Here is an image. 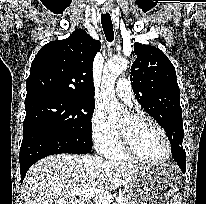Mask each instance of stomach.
I'll return each mask as SVG.
<instances>
[{"label": "stomach", "mask_w": 206, "mask_h": 204, "mask_svg": "<svg viewBox=\"0 0 206 204\" xmlns=\"http://www.w3.org/2000/svg\"><path fill=\"white\" fill-rule=\"evenodd\" d=\"M181 185L178 169L171 164L143 167L127 185L132 204H169Z\"/></svg>", "instance_id": "stomach-1"}]
</instances>
